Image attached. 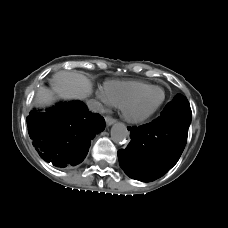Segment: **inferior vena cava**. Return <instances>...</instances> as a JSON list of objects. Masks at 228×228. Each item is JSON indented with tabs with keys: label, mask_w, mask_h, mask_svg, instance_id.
<instances>
[{
	"label": "inferior vena cava",
	"mask_w": 228,
	"mask_h": 228,
	"mask_svg": "<svg viewBox=\"0 0 228 228\" xmlns=\"http://www.w3.org/2000/svg\"><path fill=\"white\" fill-rule=\"evenodd\" d=\"M87 106L89 108V110L93 111V112H99V113H103L104 112V108L103 105L95 100V99H90L87 101Z\"/></svg>",
	"instance_id": "602c4592"
}]
</instances>
